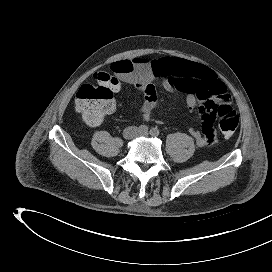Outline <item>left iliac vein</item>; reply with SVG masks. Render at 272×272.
Returning a JSON list of instances; mask_svg holds the SVG:
<instances>
[{
  "instance_id": "obj_1",
  "label": "left iliac vein",
  "mask_w": 272,
  "mask_h": 272,
  "mask_svg": "<svg viewBox=\"0 0 272 272\" xmlns=\"http://www.w3.org/2000/svg\"><path fill=\"white\" fill-rule=\"evenodd\" d=\"M139 135H140V136H144V137H147V136H148L147 133H140Z\"/></svg>"
}]
</instances>
